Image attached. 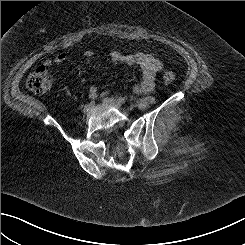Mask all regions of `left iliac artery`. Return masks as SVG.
Masks as SVG:
<instances>
[{
  "instance_id": "left-iliac-artery-1",
  "label": "left iliac artery",
  "mask_w": 245,
  "mask_h": 245,
  "mask_svg": "<svg viewBox=\"0 0 245 245\" xmlns=\"http://www.w3.org/2000/svg\"><path fill=\"white\" fill-rule=\"evenodd\" d=\"M117 100L121 104H125L126 103V99L124 97H119Z\"/></svg>"
}]
</instances>
